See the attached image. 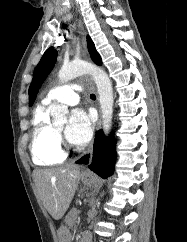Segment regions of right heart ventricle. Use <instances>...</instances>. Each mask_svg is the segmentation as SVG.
Here are the masks:
<instances>
[{
  "label": "right heart ventricle",
  "instance_id": "e07e8e85",
  "mask_svg": "<svg viewBox=\"0 0 187 242\" xmlns=\"http://www.w3.org/2000/svg\"><path fill=\"white\" fill-rule=\"evenodd\" d=\"M31 154L33 162L40 166L62 163L66 154L61 149L58 138L51 124L48 104L40 103L32 117Z\"/></svg>",
  "mask_w": 187,
  "mask_h": 242
}]
</instances>
